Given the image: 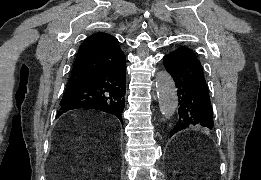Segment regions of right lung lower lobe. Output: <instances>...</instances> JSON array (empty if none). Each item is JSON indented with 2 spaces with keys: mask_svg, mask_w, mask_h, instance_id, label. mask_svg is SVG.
<instances>
[{
  "mask_svg": "<svg viewBox=\"0 0 261 180\" xmlns=\"http://www.w3.org/2000/svg\"><path fill=\"white\" fill-rule=\"evenodd\" d=\"M60 103L58 116L78 109L101 110L117 116L122 122L126 87V62L102 67L71 83Z\"/></svg>",
  "mask_w": 261,
  "mask_h": 180,
  "instance_id": "1",
  "label": "right lung lower lobe"
}]
</instances>
